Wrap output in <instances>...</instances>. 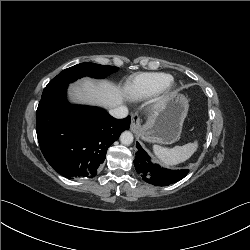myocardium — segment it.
<instances>
[{
  "label": "myocardium",
  "mask_w": 250,
  "mask_h": 250,
  "mask_svg": "<svg viewBox=\"0 0 250 250\" xmlns=\"http://www.w3.org/2000/svg\"><path fill=\"white\" fill-rule=\"evenodd\" d=\"M176 87V84L173 80L169 81L159 92L160 95L166 96L170 94Z\"/></svg>",
  "instance_id": "myocardium-1"
}]
</instances>
